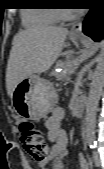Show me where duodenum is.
<instances>
[{
    "instance_id": "duodenum-1",
    "label": "duodenum",
    "mask_w": 104,
    "mask_h": 169,
    "mask_svg": "<svg viewBox=\"0 0 104 169\" xmlns=\"http://www.w3.org/2000/svg\"><path fill=\"white\" fill-rule=\"evenodd\" d=\"M86 100L85 99H78L75 103L74 113L77 117L83 116L85 109H86Z\"/></svg>"
}]
</instances>
